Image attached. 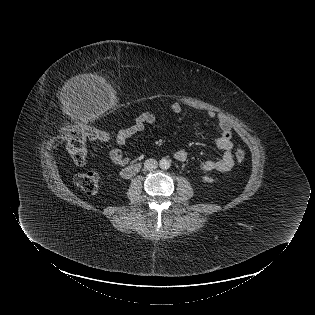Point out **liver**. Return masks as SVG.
Masks as SVG:
<instances>
[{
	"mask_svg": "<svg viewBox=\"0 0 315 315\" xmlns=\"http://www.w3.org/2000/svg\"><path fill=\"white\" fill-rule=\"evenodd\" d=\"M83 83H92V84L97 83V84L106 85V81L103 77H99L93 74H81V75L71 78L66 83L64 90L65 89L71 90L72 88H76L77 86Z\"/></svg>",
	"mask_w": 315,
	"mask_h": 315,
	"instance_id": "obj_1",
	"label": "liver"
}]
</instances>
